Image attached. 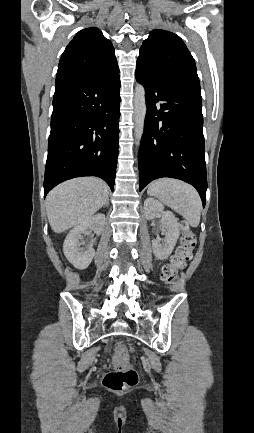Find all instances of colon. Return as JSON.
Returning <instances> with one entry per match:
<instances>
[{
    "instance_id": "1",
    "label": "colon",
    "mask_w": 254,
    "mask_h": 433,
    "mask_svg": "<svg viewBox=\"0 0 254 433\" xmlns=\"http://www.w3.org/2000/svg\"><path fill=\"white\" fill-rule=\"evenodd\" d=\"M181 228L182 234L179 245L169 262L162 267V278L168 283L175 281L178 271L192 258L193 250L197 242L195 233L189 228L186 222L181 223ZM124 356L125 349L121 347L117 354L115 367L108 371L103 377V386L108 390L115 392L125 391L134 387L138 382L136 370L122 361Z\"/></svg>"
}]
</instances>
